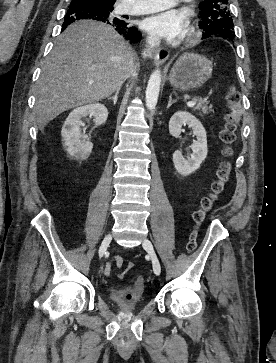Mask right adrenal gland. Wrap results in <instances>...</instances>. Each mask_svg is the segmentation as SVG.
I'll return each instance as SVG.
<instances>
[{
  "label": "right adrenal gland",
  "mask_w": 276,
  "mask_h": 363,
  "mask_svg": "<svg viewBox=\"0 0 276 363\" xmlns=\"http://www.w3.org/2000/svg\"><path fill=\"white\" fill-rule=\"evenodd\" d=\"M119 91H120V89H118L115 92V95L114 96L108 98V100H111V99L113 100L114 105H116V103H117Z\"/></svg>",
  "instance_id": "obj_1"
}]
</instances>
